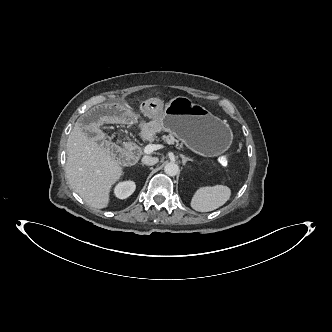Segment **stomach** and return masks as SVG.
I'll list each match as a JSON object with an SVG mask.
<instances>
[{"instance_id":"stomach-1","label":"stomach","mask_w":332,"mask_h":332,"mask_svg":"<svg viewBox=\"0 0 332 332\" xmlns=\"http://www.w3.org/2000/svg\"><path fill=\"white\" fill-rule=\"evenodd\" d=\"M158 125L204 156H216L224 152L233 139L226 123L183 96L173 98L166 105L158 118Z\"/></svg>"}]
</instances>
